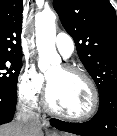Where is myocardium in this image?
<instances>
[{"instance_id":"myocardium-1","label":"myocardium","mask_w":117,"mask_h":136,"mask_svg":"<svg viewBox=\"0 0 117 136\" xmlns=\"http://www.w3.org/2000/svg\"><path fill=\"white\" fill-rule=\"evenodd\" d=\"M62 68L67 73L78 75L85 80V82L87 83V85L90 89L91 96H92V102H91L90 109L86 113H84L82 115H77V116L68 115V114L62 113V112L54 109L50 104L49 83H47V88H46V92H45V108H46V110L50 114L60 117L62 119L68 120V121L83 122V121H87V120L91 119L97 113V111L99 109V103H100L99 91H98V88H97L95 82L93 81L91 76L86 71H84L83 69H81L78 66L64 65Z\"/></svg>"}]
</instances>
